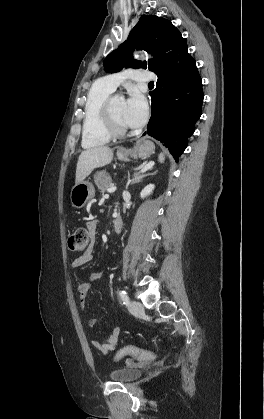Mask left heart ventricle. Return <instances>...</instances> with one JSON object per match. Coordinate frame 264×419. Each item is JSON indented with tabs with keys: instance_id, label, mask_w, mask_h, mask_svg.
Here are the masks:
<instances>
[{
	"instance_id": "left-heart-ventricle-1",
	"label": "left heart ventricle",
	"mask_w": 264,
	"mask_h": 419,
	"mask_svg": "<svg viewBox=\"0 0 264 419\" xmlns=\"http://www.w3.org/2000/svg\"><path fill=\"white\" fill-rule=\"evenodd\" d=\"M124 107H125V100L121 97H117L114 102H113V114L115 116V118L117 119V121L124 125L127 126L125 121H124Z\"/></svg>"
}]
</instances>
